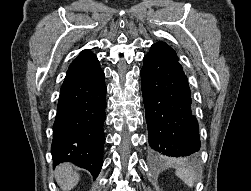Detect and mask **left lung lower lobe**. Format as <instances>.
<instances>
[{"mask_svg":"<svg viewBox=\"0 0 251 191\" xmlns=\"http://www.w3.org/2000/svg\"><path fill=\"white\" fill-rule=\"evenodd\" d=\"M149 145L155 156L186 157L200 150L191 92L179 61L150 49L141 69Z\"/></svg>","mask_w":251,"mask_h":191,"instance_id":"0a47b994","label":"left lung lower lobe"}]
</instances>
